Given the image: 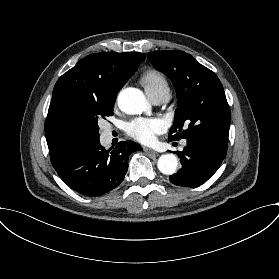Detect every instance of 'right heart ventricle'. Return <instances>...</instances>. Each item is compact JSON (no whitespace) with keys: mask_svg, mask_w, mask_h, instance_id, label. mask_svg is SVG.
<instances>
[{"mask_svg":"<svg viewBox=\"0 0 279 279\" xmlns=\"http://www.w3.org/2000/svg\"><path fill=\"white\" fill-rule=\"evenodd\" d=\"M142 83L146 90H156L168 86L166 77L157 69L150 68L142 74Z\"/></svg>","mask_w":279,"mask_h":279,"instance_id":"right-heart-ventricle-1","label":"right heart ventricle"}]
</instances>
